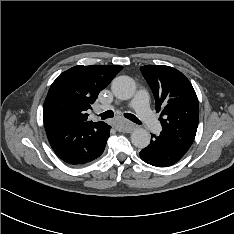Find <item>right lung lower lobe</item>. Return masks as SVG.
<instances>
[{"instance_id":"obj_1","label":"right lung lower lobe","mask_w":234,"mask_h":234,"mask_svg":"<svg viewBox=\"0 0 234 234\" xmlns=\"http://www.w3.org/2000/svg\"><path fill=\"white\" fill-rule=\"evenodd\" d=\"M50 145L64 162L81 165L98 158L110 136V126L104 122H76L46 130Z\"/></svg>"}]
</instances>
